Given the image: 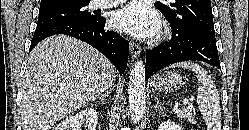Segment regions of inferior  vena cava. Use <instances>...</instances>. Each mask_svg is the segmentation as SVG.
<instances>
[{
	"instance_id": "602c4592",
	"label": "inferior vena cava",
	"mask_w": 249,
	"mask_h": 130,
	"mask_svg": "<svg viewBox=\"0 0 249 130\" xmlns=\"http://www.w3.org/2000/svg\"><path fill=\"white\" fill-rule=\"evenodd\" d=\"M112 85H113V82L107 87V89L110 88Z\"/></svg>"
}]
</instances>
